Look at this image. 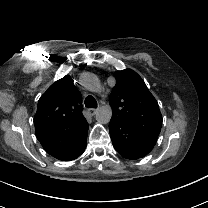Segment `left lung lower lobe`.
Here are the masks:
<instances>
[{
    "instance_id": "obj_1",
    "label": "left lung lower lobe",
    "mask_w": 208,
    "mask_h": 208,
    "mask_svg": "<svg viewBox=\"0 0 208 208\" xmlns=\"http://www.w3.org/2000/svg\"><path fill=\"white\" fill-rule=\"evenodd\" d=\"M109 131L115 150L129 160L146 156L155 146L129 123L113 116L110 120Z\"/></svg>"
}]
</instances>
